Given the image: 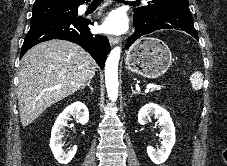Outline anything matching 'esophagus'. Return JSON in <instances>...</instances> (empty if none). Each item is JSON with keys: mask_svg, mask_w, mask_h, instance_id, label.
<instances>
[{"mask_svg": "<svg viewBox=\"0 0 227 166\" xmlns=\"http://www.w3.org/2000/svg\"><path fill=\"white\" fill-rule=\"evenodd\" d=\"M109 43L113 46L116 45L117 43H119V38L118 37H114V36H110L109 37Z\"/></svg>", "mask_w": 227, "mask_h": 166, "instance_id": "34e87169", "label": "esophagus"}]
</instances>
